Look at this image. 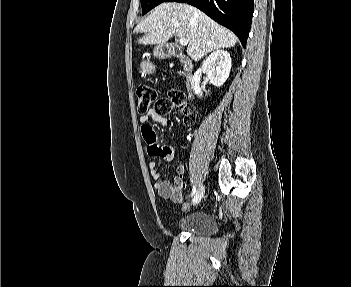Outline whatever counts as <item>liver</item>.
Segmentation results:
<instances>
[{
    "label": "liver",
    "mask_w": 351,
    "mask_h": 287,
    "mask_svg": "<svg viewBox=\"0 0 351 287\" xmlns=\"http://www.w3.org/2000/svg\"><path fill=\"white\" fill-rule=\"evenodd\" d=\"M145 35L139 44H165L171 37L188 40L187 54L194 60L207 53L235 46L237 36L219 25L199 9L183 3L169 2L157 6L135 28Z\"/></svg>",
    "instance_id": "obj_1"
}]
</instances>
